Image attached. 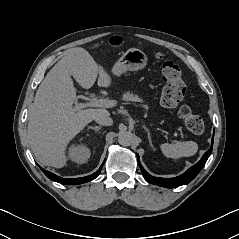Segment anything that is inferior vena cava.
I'll return each instance as SVG.
<instances>
[{
	"instance_id": "inferior-vena-cava-1",
	"label": "inferior vena cava",
	"mask_w": 239,
	"mask_h": 239,
	"mask_svg": "<svg viewBox=\"0 0 239 239\" xmlns=\"http://www.w3.org/2000/svg\"><path fill=\"white\" fill-rule=\"evenodd\" d=\"M95 122L103 126H110L113 123L110 113L107 110H101L94 117Z\"/></svg>"
}]
</instances>
